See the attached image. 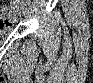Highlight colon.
<instances>
[{"label":"colon","mask_w":93,"mask_h":83,"mask_svg":"<svg viewBox=\"0 0 93 83\" xmlns=\"http://www.w3.org/2000/svg\"><path fill=\"white\" fill-rule=\"evenodd\" d=\"M14 1H3L1 6V20L2 22L13 21V14L17 12L15 9L10 8Z\"/></svg>","instance_id":"colon-1"}]
</instances>
